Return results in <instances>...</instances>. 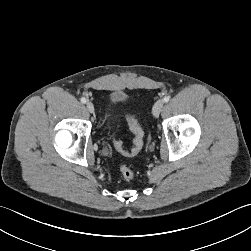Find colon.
I'll use <instances>...</instances> for the list:
<instances>
[{"instance_id":"colon-1","label":"colon","mask_w":251,"mask_h":251,"mask_svg":"<svg viewBox=\"0 0 251 251\" xmlns=\"http://www.w3.org/2000/svg\"><path fill=\"white\" fill-rule=\"evenodd\" d=\"M128 122H129V127L134 134L133 147L130 150H126L123 147L122 142L119 140H115L114 144H115V147L123 154L133 156L137 154L143 146V131L134 117L128 116ZM119 170L122 177L125 180L129 181L134 178V172L129 167L125 165H121L119 167Z\"/></svg>"}]
</instances>
